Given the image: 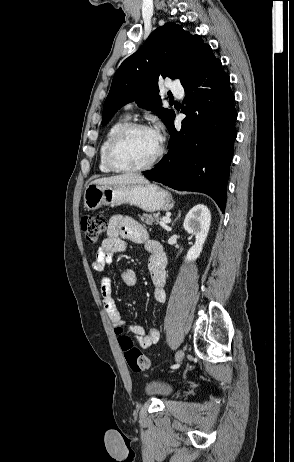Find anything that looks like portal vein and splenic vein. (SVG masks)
<instances>
[{
    "label": "portal vein and splenic vein",
    "instance_id": "portal-vein-and-splenic-vein-1",
    "mask_svg": "<svg viewBox=\"0 0 294 462\" xmlns=\"http://www.w3.org/2000/svg\"><path fill=\"white\" fill-rule=\"evenodd\" d=\"M170 222H171V219L169 217H163L160 224L164 225V224H169Z\"/></svg>",
    "mask_w": 294,
    "mask_h": 462
}]
</instances>
